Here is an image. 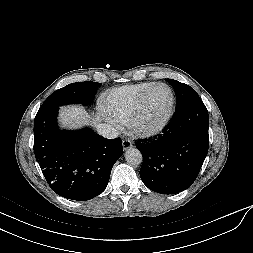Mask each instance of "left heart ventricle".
<instances>
[{"instance_id":"b2bd125f","label":"left heart ventricle","mask_w":253,"mask_h":253,"mask_svg":"<svg viewBox=\"0 0 253 253\" xmlns=\"http://www.w3.org/2000/svg\"><path fill=\"white\" fill-rule=\"evenodd\" d=\"M171 106V93L168 88L159 86L147 98L140 118V125L151 127L160 124L168 115Z\"/></svg>"}]
</instances>
